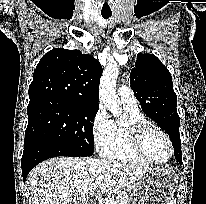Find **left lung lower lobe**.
<instances>
[{
  "label": "left lung lower lobe",
  "mask_w": 206,
  "mask_h": 204,
  "mask_svg": "<svg viewBox=\"0 0 206 204\" xmlns=\"http://www.w3.org/2000/svg\"><path fill=\"white\" fill-rule=\"evenodd\" d=\"M176 158H178L179 162L182 163V155L179 154V155H175Z\"/></svg>",
  "instance_id": "left-lung-lower-lobe-1"
}]
</instances>
